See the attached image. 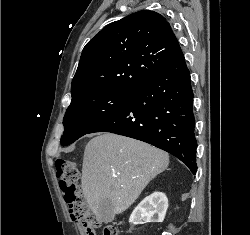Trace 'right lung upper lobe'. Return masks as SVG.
Instances as JSON below:
<instances>
[{
  "mask_svg": "<svg viewBox=\"0 0 250 235\" xmlns=\"http://www.w3.org/2000/svg\"><path fill=\"white\" fill-rule=\"evenodd\" d=\"M179 46L165 18L142 10L104 27L84 47L72 100L92 91H134L161 72Z\"/></svg>",
  "mask_w": 250,
  "mask_h": 235,
  "instance_id": "right-lung-upper-lobe-1",
  "label": "right lung upper lobe"
}]
</instances>
